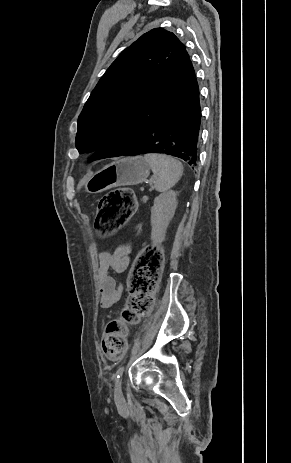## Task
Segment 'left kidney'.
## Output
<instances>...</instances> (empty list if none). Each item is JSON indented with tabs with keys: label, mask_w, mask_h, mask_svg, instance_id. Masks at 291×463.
<instances>
[{
	"label": "left kidney",
	"mask_w": 291,
	"mask_h": 463,
	"mask_svg": "<svg viewBox=\"0 0 291 463\" xmlns=\"http://www.w3.org/2000/svg\"><path fill=\"white\" fill-rule=\"evenodd\" d=\"M178 192L170 190L154 199L151 208V240L159 245L165 239L166 230L177 208Z\"/></svg>",
	"instance_id": "1"
}]
</instances>
